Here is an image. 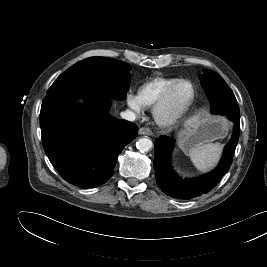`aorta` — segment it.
<instances>
[{
	"label": "aorta",
	"instance_id": "obj_1",
	"mask_svg": "<svg viewBox=\"0 0 267 267\" xmlns=\"http://www.w3.org/2000/svg\"><path fill=\"white\" fill-rule=\"evenodd\" d=\"M152 146L153 143L149 138H141L136 143V147L140 152H148Z\"/></svg>",
	"mask_w": 267,
	"mask_h": 267
}]
</instances>
